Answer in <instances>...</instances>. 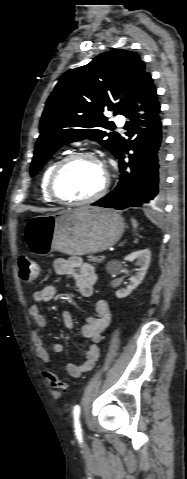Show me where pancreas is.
I'll list each match as a JSON object with an SVG mask.
<instances>
[{
  "mask_svg": "<svg viewBox=\"0 0 187 479\" xmlns=\"http://www.w3.org/2000/svg\"><path fill=\"white\" fill-rule=\"evenodd\" d=\"M89 260L94 262V264H99L103 262V259L99 256H89Z\"/></svg>",
  "mask_w": 187,
  "mask_h": 479,
  "instance_id": "1",
  "label": "pancreas"
}]
</instances>
